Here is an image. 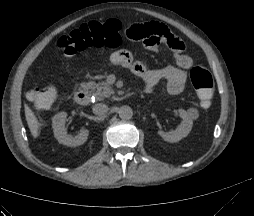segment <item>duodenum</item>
I'll return each mask as SVG.
<instances>
[{"mask_svg":"<svg viewBox=\"0 0 254 216\" xmlns=\"http://www.w3.org/2000/svg\"><path fill=\"white\" fill-rule=\"evenodd\" d=\"M76 103L79 105H87L90 101L89 94L86 90H78L74 95Z\"/></svg>","mask_w":254,"mask_h":216,"instance_id":"1","label":"duodenum"}]
</instances>
